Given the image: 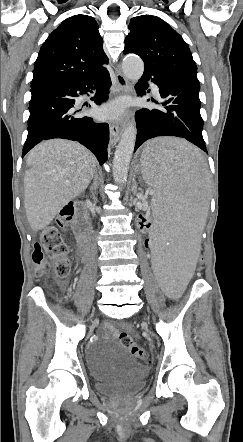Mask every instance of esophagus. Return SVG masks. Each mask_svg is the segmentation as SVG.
Listing matches in <instances>:
<instances>
[{
    "mask_svg": "<svg viewBox=\"0 0 243 442\" xmlns=\"http://www.w3.org/2000/svg\"><path fill=\"white\" fill-rule=\"evenodd\" d=\"M115 79H116V84L118 86L117 91H127L128 90V88H129L128 81L124 77V75L121 73L119 67L116 68ZM124 127H125L124 122H117V123H114L110 126V135L112 138L111 139L112 144H115L119 140Z\"/></svg>",
    "mask_w": 243,
    "mask_h": 442,
    "instance_id": "1",
    "label": "esophagus"
}]
</instances>
